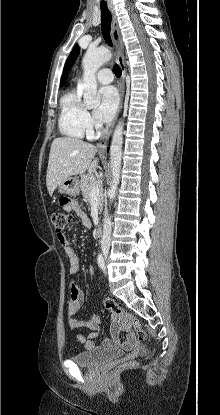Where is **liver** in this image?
Returning a JSON list of instances; mask_svg holds the SVG:
<instances>
[{"label": "liver", "instance_id": "6515ba94", "mask_svg": "<svg viewBox=\"0 0 220 415\" xmlns=\"http://www.w3.org/2000/svg\"><path fill=\"white\" fill-rule=\"evenodd\" d=\"M96 146L71 137L54 139L48 161L46 185L50 195L57 186L73 175L96 173L98 159Z\"/></svg>", "mask_w": 220, "mask_h": 415}]
</instances>
